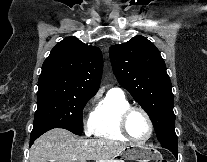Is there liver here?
Instances as JSON below:
<instances>
[{
	"instance_id": "liver-1",
	"label": "liver",
	"mask_w": 207,
	"mask_h": 162,
	"mask_svg": "<svg viewBox=\"0 0 207 162\" xmlns=\"http://www.w3.org/2000/svg\"><path fill=\"white\" fill-rule=\"evenodd\" d=\"M127 144L110 139H79L65 129L55 128L40 136L31 146L30 162H112Z\"/></svg>"
}]
</instances>
